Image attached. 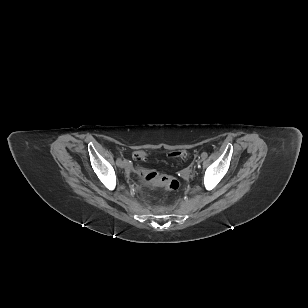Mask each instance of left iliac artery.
Here are the masks:
<instances>
[{
  "instance_id": "1",
  "label": "left iliac artery",
  "mask_w": 308,
  "mask_h": 308,
  "mask_svg": "<svg viewBox=\"0 0 308 308\" xmlns=\"http://www.w3.org/2000/svg\"><path fill=\"white\" fill-rule=\"evenodd\" d=\"M201 156H202L203 158H206V157H207V153L203 152Z\"/></svg>"
}]
</instances>
